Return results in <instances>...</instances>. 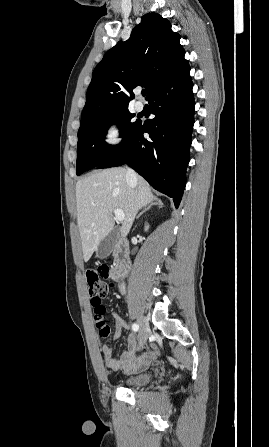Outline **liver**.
Listing matches in <instances>:
<instances>
[{"instance_id": "obj_1", "label": "liver", "mask_w": 269, "mask_h": 447, "mask_svg": "<svg viewBox=\"0 0 269 447\" xmlns=\"http://www.w3.org/2000/svg\"><path fill=\"white\" fill-rule=\"evenodd\" d=\"M125 168L91 172L76 184L77 224L80 231L84 261L90 259L99 243L114 227V210H123L125 220L120 229L125 237L134 218L143 206L153 204L149 184L141 176L127 182Z\"/></svg>"}]
</instances>
